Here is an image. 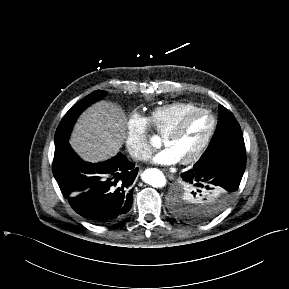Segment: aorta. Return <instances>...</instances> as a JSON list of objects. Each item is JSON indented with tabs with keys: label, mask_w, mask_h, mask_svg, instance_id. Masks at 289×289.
<instances>
[{
	"label": "aorta",
	"mask_w": 289,
	"mask_h": 289,
	"mask_svg": "<svg viewBox=\"0 0 289 289\" xmlns=\"http://www.w3.org/2000/svg\"><path fill=\"white\" fill-rule=\"evenodd\" d=\"M142 179L145 183L155 188H161L166 184L164 174L160 170L155 168L145 170L142 174Z\"/></svg>",
	"instance_id": "obj_1"
}]
</instances>
